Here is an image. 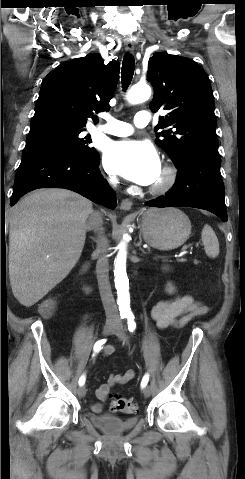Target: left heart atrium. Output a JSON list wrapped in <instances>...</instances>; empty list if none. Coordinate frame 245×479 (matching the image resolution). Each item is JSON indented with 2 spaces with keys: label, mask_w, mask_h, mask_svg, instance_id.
I'll use <instances>...</instances> for the list:
<instances>
[{
  "label": "left heart atrium",
  "mask_w": 245,
  "mask_h": 479,
  "mask_svg": "<svg viewBox=\"0 0 245 479\" xmlns=\"http://www.w3.org/2000/svg\"><path fill=\"white\" fill-rule=\"evenodd\" d=\"M104 165L107 170L141 185L154 183L161 173L157 151L145 141L110 143L104 152Z\"/></svg>",
  "instance_id": "obj_1"
}]
</instances>
